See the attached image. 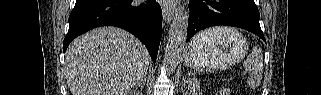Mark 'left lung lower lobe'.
Masks as SVG:
<instances>
[{
    "label": "left lung lower lobe",
    "instance_id": "left-lung-lower-lobe-1",
    "mask_svg": "<svg viewBox=\"0 0 321 95\" xmlns=\"http://www.w3.org/2000/svg\"><path fill=\"white\" fill-rule=\"evenodd\" d=\"M189 10L186 41L200 30L216 25L243 28L265 41L254 0H190Z\"/></svg>",
    "mask_w": 321,
    "mask_h": 95
}]
</instances>
